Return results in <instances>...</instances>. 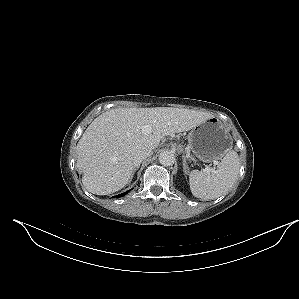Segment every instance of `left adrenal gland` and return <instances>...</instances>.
<instances>
[{"label":"left adrenal gland","mask_w":299,"mask_h":299,"mask_svg":"<svg viewBox=\"0 0 299 299\" xmlns=\"http://www.w3.org/2000/svg\"><path fill=\"white\" fill-rule=\"evenodd\" d=\"M183 171L185 174H187V172H188V165L186 162V158L184 156H183Z\"/></svg>","instance_id":"1"}]
</instances>
